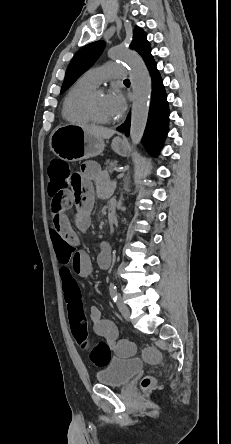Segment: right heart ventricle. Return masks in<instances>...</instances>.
<instances>
[{"label": "right heart ventricle", "mask_w": 231, "mask_h": 444, "mask_svg": "<svg viewBox=\"0 0 231 444\" xmlns=\"http://www.w3.org/2000/svg\"><path fill=\"white\" fill-rule=\"evenodd\" d=\"M96 85L84 76L79 78L67 92L62 106V115L65 120L74 124H88L91 122L85 112V100Z\"/></svg>", "instance_id": "e07e8e85"}]
</instances>
